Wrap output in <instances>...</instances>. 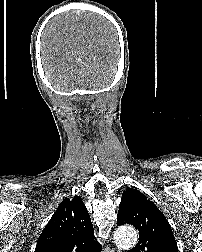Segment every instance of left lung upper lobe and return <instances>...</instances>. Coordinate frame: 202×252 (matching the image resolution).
<instances>
[{
    "label": "left lung upper lobe",
    "mask_w": 202,
    "mask_h": 252,
    "mask_svg": "<svg viewBox=\"0 0 202 252\" xmlns=\"http://www.w3.org/2000/svg\"><path fill=\"white\" fill-rule=\"evenodd\" d=\"M133 225L139 231L138 244L129 252H178L177 242L163 213L136 189L123 192L117 225Z\"/></svg>",
    "instance_id": "obj_1"
}]
</instances>
